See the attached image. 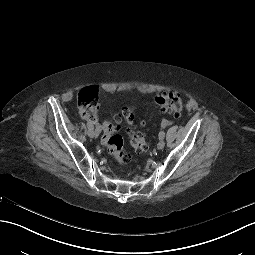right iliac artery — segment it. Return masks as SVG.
Returning <instances> with one entry per match:
<instances>
[{
    "label": "right iliac artery",
    "instance_id": "obj_1",
    "mask_svg": "<svg viewBox=\"0 0 255 255\" xmlns=\"http://www.w3.org/2000/svg\"><path fill=\"white\" fill-rule=\"evenodd\" d=\"M87 127H88L89 129H93L92 123L88 122V123H87Z\"/></svg>",
    "mask_w": 255,
    "mask_h": 255
}]
</instances>
